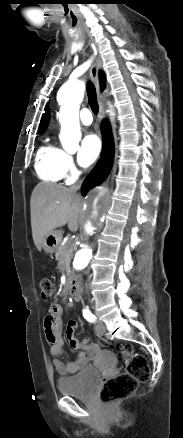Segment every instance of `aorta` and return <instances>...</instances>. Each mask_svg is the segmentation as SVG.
Masks as SVG:
<instances>
[{
  "mask_svg": "<svg viewBox=\"0 0 183 438\" xmlns=\"http://www.w3.org/2000/svg\"><path fill=\"white\" fill-rule=\"evenodd\" d=\"M85 86L80 80H68L57 93V101L60 104L59 121L61 124L60 141L65 150L71 151L77 148L80 137L79 126V105L84 97ZM104 206L99 197L92 200L91 214L93 218H98L104 212ZM96 226L88 222L85 226L87 234H93ZM93 258L92 250L83 247L77 251L73 261L75 270L80 271L86 268Z\"/></svg>",
  "mask_w": 183,
  "mask_h": 438,
  "instance_id": "1",
  "label": "aorta"
}]
</instances>
